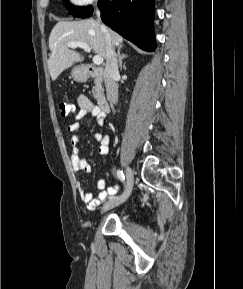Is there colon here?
<instances>
[{
    "instance_id": "colon-1",
    "label": "colon",
    "mask_w": 243,
    "mask_h": 289,
    "mask_svg": "<svg viewBox=\"0 0 243 289\" xmlns=\"http://www.w3.org/2000/svg\"><path fill=\"white\" fill-rule=\"evenodd\" d=\"M59 113L62 117H67L75 112V107L68 101H62L58 104Z\"/></svg>"
}]
</instances>
